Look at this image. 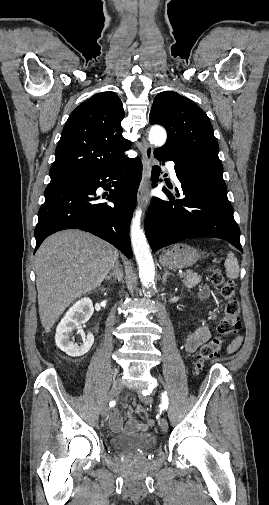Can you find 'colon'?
Listing matches in <instances>:
<instances>
[{
	"mask_svg": "<svg viewBox=\"0 0 269 505\" xmlns=\"http://www.w3.org/2000/svg\"><path fill=\"white\" fill-rule=\"evenodd\" d=\"M211 281L220 288L221 295L226 300V305L217 325L219 336L203 344L198 352L195 363L197 372L201 371L208 361L219 355L223 345L222 337L236 334L241 328L240 306L235 297L234 283L226 280L219 270L213 271ZM136 413L142 418L147 416L146 409L141 405L136 407Z\"/></svg>",
	"mask_w": 269,
	"mask_h": 505,
	"instance_id": "5ec220e1",
	"label": "colon"
}]
</instances>
